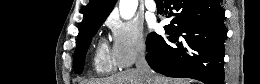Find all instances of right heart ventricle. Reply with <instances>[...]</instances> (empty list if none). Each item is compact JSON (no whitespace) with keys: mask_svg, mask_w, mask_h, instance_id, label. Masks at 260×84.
Listing matches in <instances>:
<instances>
[{"mask_svg":"<svg viewBox=\"0 0 260 84\" xmlns=\"http://www.w3.org/2000/svg\"><path fill=\"white\" fill-rule=\"evenodd\" d=\"M115 68V63L104 43H100L94 53L93 69L96 73L110 72Z\"/></svg>","mask_w":260,"mask_h":84,"instance_id":"obj_1","label":"right heart ventricle"}]
</instances>
